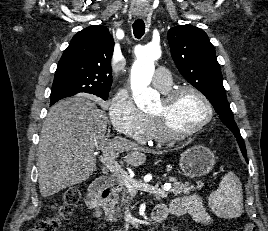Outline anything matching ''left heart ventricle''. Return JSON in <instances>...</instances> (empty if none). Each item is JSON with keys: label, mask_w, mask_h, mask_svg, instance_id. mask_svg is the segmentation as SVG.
<instances>
[{"label": "left heart ventricle", "mask_w": 268, "mask_h": 231, "mask_svg": "<svg viewBox=\"0 0 268 231\" xmlns=\"http://www.w3.org/2000/svg\"><path fill=\"white\" fill-rule=\"evenodd\" d=\"M162 100L155 105L152 113L161 107ZM206 108L202 100L191 92H184L177 97L171 109V122L178 132H185L197 126L205 117Z\"/></svg>", "instance_id": "1"}]
</instances>
